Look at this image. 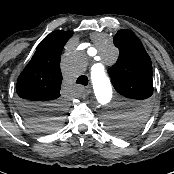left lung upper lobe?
I'll use <instances>...</instances> for the list:
<instances>
[{
  "instance_id": "1",
  "label": "left lung upper lobe",
  "mask_w": 174,
  "mask_h": 174,
  "mask_svg": "<svg viewBox=\"0 0 174 174\" xmlns=\"http://www.w3.org/2000/svg\"><path fill=\"white\" fill-rule=\"evenodd\" d=\"M113 41L120 55L108 73L116 91L133 99V104L124 117L110 120L109 127L114 135L128 137L137 132L149 117L153 93L151 59L130 30H119Z\"/></svg>"
}]
</instances>
